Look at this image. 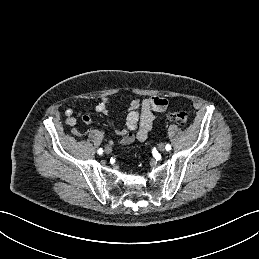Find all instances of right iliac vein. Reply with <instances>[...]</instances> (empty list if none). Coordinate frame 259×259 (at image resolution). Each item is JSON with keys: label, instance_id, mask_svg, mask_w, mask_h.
Instances as JSON below:
<instances>
[{"label": "right iliac vein", "instance_id": "1", "mask_svg": "<svg viewBox=\"0 0 259 259\" xmlns=\"http://www.w3.org/2000/svg\"><path fill=\"white\" fill-rule=\"evenodd\" d=\"M112 152V148L110 146L105 147V153L110 154Z\"/></svg>", "mask_w": 259, "mask_h": 259}]
</instances>
